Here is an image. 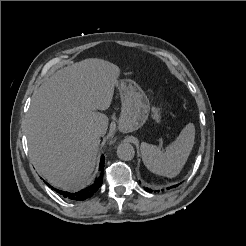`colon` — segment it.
Returning <instances> with one entry per match:
<instances>
[{
	"mask_svg": "<svg viewBox=\"0 0 246 246\" xmlns=\"http://www.w3.org/2000/svg\"><path fill=\"white\" fill-rule=\"evenodd\" d=\"M152 117L156 122H160L162 120V108H161V106H156L153 108Z\"/></svg>",
	"mask_w": 246,
	"mask_h": 246,
	"instance_id": "colon-1",
	"label": "colon"
}]
</instances>
